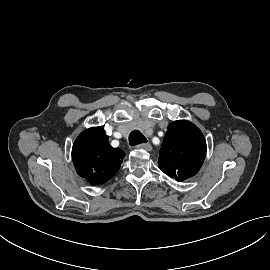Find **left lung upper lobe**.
<instances>
[{
	"instance_id": "5c2ea615",
	"label": "left lung upper lobe",
	"mask_w": 270,
	"mask_h": 270,
	"mask_svg": "<svg viewBox=\"0 0 270 270\" xmlns=\"http://www.w3.org/2000/svg\"><path fill=\"white\" fill-rule=\"evenodd\" d=\"M205 155L206 141L201 131L189 121H174L164 137L158 166L181 182L199 171Z\"/></svg>"
}]
</instances>
